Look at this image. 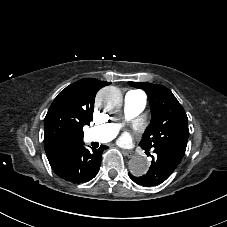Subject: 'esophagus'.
I'll return each mask as SVG.
<instances>
[{
    "mask_svg": "<svg viewBox=\"0 0 227 227\" xmlns=\"http://www.w3.org/2000/svg\"><path fill=\"white\" fill-rule=\"evenodd\" d=\"M122 153L128 158H132L136 155L134 151L122 149Z\"/></svg>",
    "mask_w": 227,
    "mask_h": 227,
    "instance_id": "obj_1",
    "label": "esophagus"
}]
</instances>
